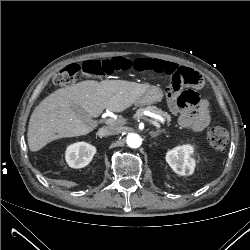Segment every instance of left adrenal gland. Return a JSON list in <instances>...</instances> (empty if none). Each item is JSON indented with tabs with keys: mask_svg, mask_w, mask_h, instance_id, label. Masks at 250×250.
<instances>
[{
	"mask_svg": "<svg viewBox=\"0 0 250 250\" xmlns=\"http://www.w3.org/2000/svg\"><path fill=\"white\" fill-rule=\"evenodd\" d=\"M160 133H165V130H158L156 132H151L150 134H151L152 138H155V137L159 136Z\"/></svg>",
	"mask_w": 250,
	"mask_h": 250,
	"instance_id": "obj_1",
	"label": "left adrenal gland"
}]
</instances>
